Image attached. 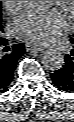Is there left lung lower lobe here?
I'll list each match as a JSON object with an SVG mask.
<instances>
[{
  "label": "left lung lower lobe",
  "instance_id": "1",
  "mask_svg": "<svg viewBox=\"0 0 74 122\" xmlns=\"http://www.w3.org/2000/svg\"><path fill=\"white\" fill-rule=\"evenodd\" d=\"M73 49L65 56L61 69L51 73L52 82L61 91L74 92V38H71Z\"/></svg>",
  "mask_w": 74,
  "mask_h": 122
}]
</instances>
